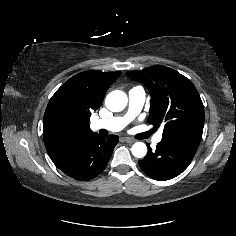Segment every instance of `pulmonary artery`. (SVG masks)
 <instances>
[{
	"instance_id": "obj_1",
	"label": "pulmonary artery",
	"mask_w": 236,
	"mask_h": 236,
	"mask_svg": "<svg viewBox=\"0 0 236 236\" xmlns=\"http://www.w3.org/2000/svg\"><path fill=\"white\" fill-rule=\"evenodd\" d=\"M146 101V92L140 87H134L129 91V108L124 117H113L110 119H97L91 124L93 130L105 129L111 132H117L124 128L128 121L135 117L142 109ZM162 132H159L153 139L154 143L160 142Z\"/></svg>"
}]
</instances>
